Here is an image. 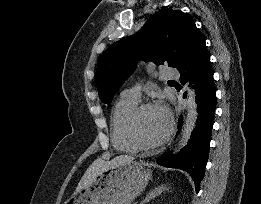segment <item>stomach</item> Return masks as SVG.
I'll return each instance as SVG.
<instances>
[{"label": "stomach", "instance_id": "0dacf381", "mask_svg": "<svg viewBox=\"0 0 261 204\" xmlns=\"http://www.w3.org/2000/svg\"><path fill=\"white\" fill-rule=\"evenodd\" d=\"M151 176L140 162L124 163L100 172L89 187L75 193L65 204H131Z\"/></svg>", "mask_w": 261, "mask_h": 204}]
</instances>
